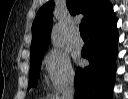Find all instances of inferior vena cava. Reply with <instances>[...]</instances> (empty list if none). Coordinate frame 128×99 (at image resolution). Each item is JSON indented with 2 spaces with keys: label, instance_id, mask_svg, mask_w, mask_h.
<instances>
[{
  "label": "inferior vena cava",
  "instance_id": "1",
  "mask_svg": "<svg viewBox=\"0 0 128 99\" xmlns=\"http://www.w3.org/2000/svg\"><path fill=\"white\" fill-rule=\"evenodd\" d=\"M74 91V80L70 79L63 90L62 99H73Z\"/></svg>",
  "mask_w": 128,
  "mask_h": 99
}]
</instances>
